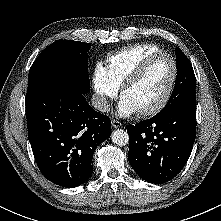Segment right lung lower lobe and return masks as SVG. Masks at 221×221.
I'll use <instances>...</instances> for the list:
<instances>
[{
    "label": "right lung lower lobe",
    "instance_id": "right-lung-lower-lobe-1",
    "mask_svg": "<svg viewBox=\"0 0 221 221\" xmlns=\"http://www.w3.org/2000/svg\"><path fill=\"white\" fill-rule=\"evenodd\" d=\"M25 103L28 137L42 174L62 187L87 181L95 148L111 134L110 118L66 85L44 87Z\"/></svg>",
    "mask_w": 221,
    "mask_h": 221
}]
</instances>
